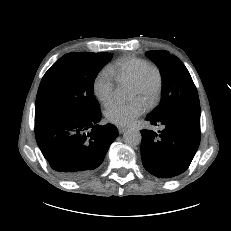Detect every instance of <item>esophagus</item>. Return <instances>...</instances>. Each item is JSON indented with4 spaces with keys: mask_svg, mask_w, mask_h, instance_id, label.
I'll return each instance as SVG.
<instances>
[{
    "mask_svg": "<svg viewBox=\"0 0 231 231\" xmlns=\"http://www.w3.org/2000/svg\"><path fill=\"white\" fill-rule=\"evenodd\" d=\"M128 128L127 127H124V126H119L118 127V131L120 134H123Z\"/></svg>",
    "mask_w": 231,
    "mask_h": 231,
    "instance_id": "34e87169",
    "label": "esophagus"
}]
</instances>
